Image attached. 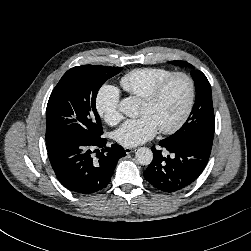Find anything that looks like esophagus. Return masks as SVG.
Instances as JSON below:
<instances>
[{"label":"esophagus","mask_w":251,"mask_h":251,"mask_svg":"<svg viewBox=\"0 0 251 251\" xmlns=\"http://www.w3.org/2000/svg\"><path fill=\"white\" fill-rule=\"evenodd\" d=\"M124 150L126 154H130L133 153L136 150V148L125 147Z\"/></svg>","instance_id":"34e87169"}]
</instances>
